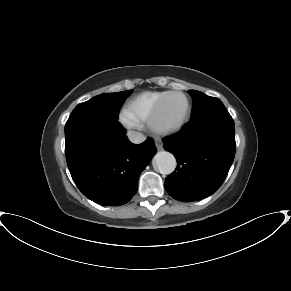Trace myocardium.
I'll return each instance as SVG.
<instances>
[{
    "label": "myocardium",
    "mask_w": 291,
    "mask_h": 291,
    "mask_svg": "<svg viewBox=\"0 0 291 291\" xmlns=\"http://www.w3.org/2000/svg\"><path fill=\"white\" fill-rule=\"evenodd\" d=\"M173 95H181L186 99L187 105L186 116L179 125L174 127H164L160 125L159 118L165 102L168 100V98H170ZM191 116H192V104L188 95L181 91H170L158 101L153 111L151 112L147 122L150 130L153 131L154 133L159 135H172L181 132L189 123Z\"/></svg>",
    "instance_id": "f54148a6"
}]
</instances>
